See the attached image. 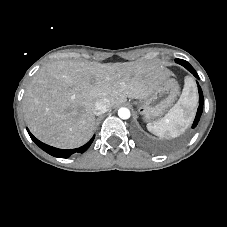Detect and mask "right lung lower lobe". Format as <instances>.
<instances>
[{"label":"right lung lower lobe","mask_w":227,"mask_h":227,"mask_svg":"<svg viewBox=\"0 0 227 227\" xmlns=\"http://www.w3.org/2000/svg\"><path fill=\"white\" fill-rule=\"evenodd\" d=\"M29 135L31 137V139L41 148L43 149L45 152L49 153L52 156L55 157H59V158H68L71 154L75 153V152H80L83 153L85 152L91 145V143L94 140V137L84 146L80 147L79 149H70V150H65V149H58V148H54L52 146L46 145L44 143H42L41 141H39L38 139H36L30 132Z\"/></svg>","instance_id":"1"}]
</instances>
